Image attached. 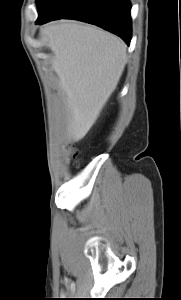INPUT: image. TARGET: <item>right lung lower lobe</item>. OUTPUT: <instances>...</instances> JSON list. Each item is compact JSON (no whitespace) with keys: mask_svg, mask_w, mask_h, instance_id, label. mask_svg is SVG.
I'll use <instances>...</instances> for the list:
<instances>
[{"mask_svg":"<svg viewBox=\"0 0 181 300\" xmlns=\"http://www.w3.org/2000/svg\"><path fill=\"white\" fill-rule=\"evenodd\" d=\"M131 5L128 0H60L36 23L68 18L97 25L121 37L128 45L131 40Z\"/></svg>","mask_w":181,"mask_h":300,"instance_id":"98d812e1","label":"right lung lower lobe"}]
</instances>
